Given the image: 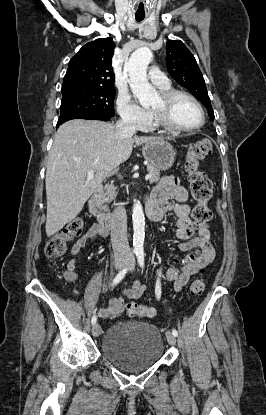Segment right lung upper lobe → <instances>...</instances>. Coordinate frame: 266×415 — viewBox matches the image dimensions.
Segmentation results:
<instances>
[{
    "label": "right lung upper lobe",
    "instance_id": "1",
    "mask_svg": "<svg viewBox=\"0 0 266 415\" xmlns=\"http://www.w3.org/2000/svg\"><path fill=\"white\" fill-rule=\"evenodd\" d=\"M112 38H100L84 45L69 61L62 92L80 88L114 87Z\"/></svg>",
    "mask_w": 266,
    "mask_h": 415
}]
</instances>
